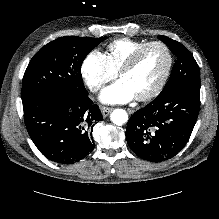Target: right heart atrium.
Segmentation results:
<instances>
[{"mask_svg": "<svg viewBox=\"0 0 219 219\" xmlns=\"http://www.w3.org/2000/svg\"><path fill=\"white\" fill-rule=\"evenodd\" d=\"M81 75L90 90L97 93L115 78L116 72L110 66L106 55L94 49L85 56L81 65Z\"/></svg>", "mask_w": 219, "mask_h": 219, "instance_id": "d8ad5b80", "label": "right heart atrium"}]
</instances>
